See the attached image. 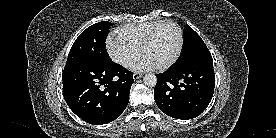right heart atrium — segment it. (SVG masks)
<instances>
[{"label":"right heart atrium","instance_id":"d8ad5b80","mask_svg":"<svg viewBox=\"0 0 276 138\" xmlns=\"http://www.w3.org/2000/svg\"><path fill=\"white\" fill-rule=\"evenodd\" d=\"M107 51L109 56L119 65L130 67L137 56L140 54V48L130 41L114 34L107 39Z\"/></svg>","mask_w":276,"mask_h":138}]
</instances>
